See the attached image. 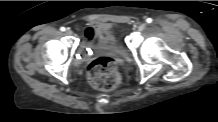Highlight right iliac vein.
<instances>
[{
  "mask_svg": "<svg viewBox=\"0 0 218 122\" xmlns=\"http://www.w3.org/2000/svg\"><path fill=\"white\" fill-rule=\"evenodd\" d=\"M65 34H66V35H72L73 32H72L71 30L68 29V30L65 31Z\"/></svg>",
  "mask_w": 218,
  "mask_h": 122,
  "instance_id": "right-iliac-vein-1",
  "label": "right iliac vein"
}]
</instances>
